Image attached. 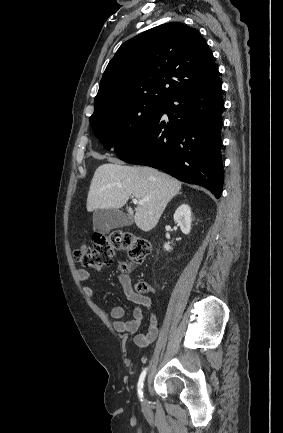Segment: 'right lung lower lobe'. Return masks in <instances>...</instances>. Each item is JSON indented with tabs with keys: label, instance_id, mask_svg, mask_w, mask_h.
I'll return each instance as SVG.
<instances>
[{
	"label": "right lung lower lobe",
	"instance_id": "1",
	"mask_svg": "<svg viewBox=\"0 0 283 433\" xmlns=\"http://www.w3.org/2000/svg\"><path fill=\"white\" fill-rule=\"evenodd\" d=\"M223 106L219 76L175 95L163 103L137 139L117 156L201 185L219 198L223 189Z\"/></svg>",
	"mask_w": 283,
	"mask_h": 433
}]
</instances>
